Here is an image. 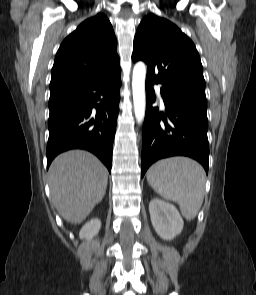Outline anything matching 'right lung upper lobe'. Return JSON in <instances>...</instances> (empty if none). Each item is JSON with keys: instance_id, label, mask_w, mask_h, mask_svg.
Segmentation results:
<instances>
[{"instance_id": "1", "label": "right lung upper lobe", "mask_w": 256, "mask_h": 295, "mask_svg": "<svg viewBox=\"0 0 256 295\" xmlns=\"http://www.w3.org/2000/svg\"><path fill=\"white\" fill-rule=\"evenodd\" d=\"M117 41L108 18L99 13L82 22L60 45L50 92L120 70Z\"/></svg>"}]
</instances>
